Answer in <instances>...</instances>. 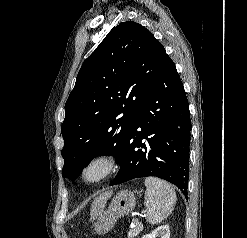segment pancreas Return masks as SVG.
Returning <instances> with one entry per match:
<instances>
[{"label":"pancreas","mask_w":247,"mask_h":238,"mask_svg":"<svg viewBox=\"0 0 247 238\" xmlns=\"http://www.w3.org/2000/svg\"><path fill=\"white\" fill-rule=\"evenodd\" d=\"M134 227L128 232V238H134L141 233L143 230V224L139 223L138 220H133Z\"/></svg>","instance_id":"1"}]
</instances>
